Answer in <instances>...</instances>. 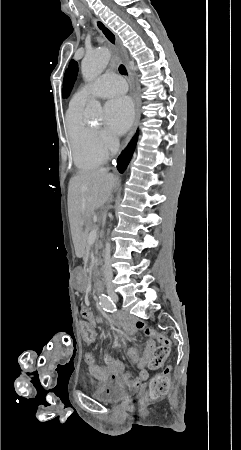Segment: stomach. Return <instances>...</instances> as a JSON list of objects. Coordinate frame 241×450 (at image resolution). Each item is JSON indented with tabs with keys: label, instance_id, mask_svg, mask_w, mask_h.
Here are the masks:
<instances>
[{
	"label": "stomach",
	"instance_id": "obj_1",
	"mask_svg": "<svg viewBox=\"0 0 241 450\" xmlns=\"http://www.w3.org/2000/svg\"><path fill=\"white\" fill-rule=\"evenodd\" d=\"M74 280L79 287L85 286V279L83 273L79 269L75 270L74 272Z\"/></svg>",
	"mask_w": 241,
	"mask_h": 450
}]
</instances>
